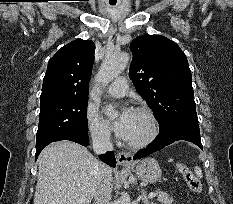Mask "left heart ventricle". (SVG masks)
Instances as JSON below:
<instances>
[{
    "mask_svg": "<svg viewBox=\"0 0 233 204\" xmlns=\"http://www.w3.org/2000/svg\"><path fill=\"white\" fill-rule=\"evenodd\" d=\"M150 125L145 115L132 112L129 125L127 137L125 140L130 142H137L144 139L149 133Z\"/></svg>",
    "mask_w": 233,
    "mask_h": 204,
    "instance_id": "obj_1",
    "label": "left heart ventricle"
}]
</instances>
